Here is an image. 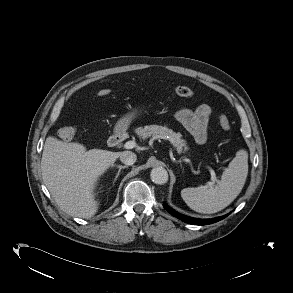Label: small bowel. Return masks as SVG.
<instances>
[{"label":"small bowel","instance_id":"c3829d8e","mask_svg":"<svg viewBox=\"0 0 293 293\" xmlns=\"http://www.w3.org/2000/svg\"><path fill=\"white\" fill-rule=\"evenodd\" d=\"M210 115L211 108L203 104L195 110L182 108L176 112L175 118L198 144H204L207 140V127Z\"/></svg>","mask_w":293,"mask_h":293}]
</instances>
